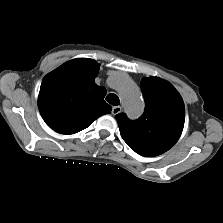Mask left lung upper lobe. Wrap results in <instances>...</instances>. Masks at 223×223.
I'll use <instances>...</instances> for the list:
<instances>
[{"instance_id": "obj_1", "label": "left lung upper lobe", "mask_w": 223, "mask_h": 223, "mask_svg": "<svg viewBox=\"0 0 223 223\" xmlns=\"http://www.w3.org/2000/svg\"><path fill=\"white\" fill-rule=\"evenodd\" d=\"M141 90L145 100L142 116L132 121L120 113L115 118L132 150L146 157L157 156L179 139L185 121L184 103L170 83L157 77L142 79Z\"/></svg>"}]
</instances>
